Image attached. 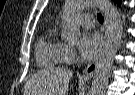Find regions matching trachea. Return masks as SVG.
<instances>
[{"mask_svg":"<svg viewBox=\"0 0 135 95\" xmlns=\"http://www.w3.org/2000/svg\"><path fill=\"white\" fill-rule=\"evenodd\" d=\"M97 19H98V21H99L101 24H102L103 21H104V17L102 16L101 13H98V14H97Z\"/></svg>","mask_w":135,"mask_h":95,"instance_id":"obj_1","label":"trachea"}]
</instances>
